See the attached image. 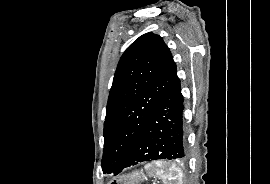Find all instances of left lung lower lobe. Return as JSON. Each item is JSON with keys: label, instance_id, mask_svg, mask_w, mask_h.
<instances>
[{"label": "left lung lower lobe", "instance_id": "1", "mask_svg": "<svg viewBox=\"0 0 270 184\" xmlns=\"http://www.w3.org/2000/svg\"><path fill=\"white\" fill-rule=\"evenodd\" d=\"M180 79L176 75L150 119L133 144L124 168L153 160L184 161L187 158V131Z\"/></svg>", "mask_w": 270, "mask_h": 184}]
</instances>
